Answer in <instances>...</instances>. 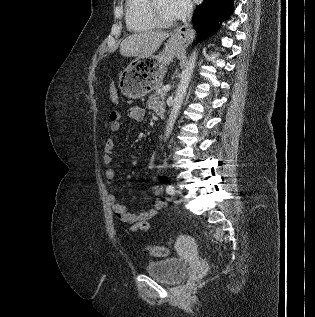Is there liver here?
Instances as JSON below:
<instances>
[{
    "label": "liver",
    "mask_w": 315,
    "mask_h": 317,
    "mask_svg": "<svg viewBox=\"0 0 315 317\" xmlns=\"http://www.w3.org/2000/svg\"><path fill=\"white\" fill-rule=\"evenodd\" d=\"M169 33L146 31L126 37L120 44V54L124 57L147 58L159 49Z\"/></svg>",
    "instance_id": "liver-1"
}]
</instances>
